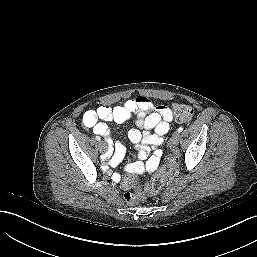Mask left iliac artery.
<instances>
[{
    "instance_id": "44dca946",
    "label": "left iliac artery",
    "mask_w": 257,
    "mask_h": 257,
    "mask_svg": "<svg viewBox=\"0 0 257 257\" xmlns=\"http://www.w3.org/2000/svg\"><path fill=\"white\" fill-rule=\"evenodd\" d=\"M183 129H184V128L181 126V127H179V128H178V130H177V131L180 133V132H182V131H183Z\"/></svg>"
}]
</instances>
